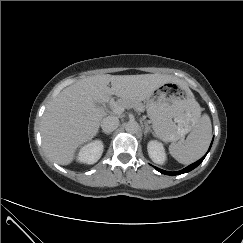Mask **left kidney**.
Wrapping results in <instances>:
<instances>
[{
	"label": "left kidney",
	"instance_id": "5707ae66",
	"mask_svg": "<svg viewBox=\"0 0 243 243\" xmlns=\"http://www.w3.org/2000/svg\"><path fill=\"white\" fill-rule=\"evenodd\" d=\"M147 150H148L149 157L154 163L160 165L165 163L166 154H165L164 147L161 143L152 140L148 143Z\"/></svg>",
	"mask_w": 243,
	"mask_h": 243
}]
</instances>
